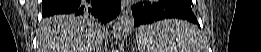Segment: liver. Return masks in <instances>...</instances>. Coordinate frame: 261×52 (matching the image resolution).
Masks as SVG:
<instances>
[{
    "mask_svg": "<svg viewBox=\"0 0 261 52\" xmlns=\"http://www.w3.org/2000/svg\"><path fill=\"white\" fill-rule=\"evenodd\" d=\"M100 45L95 25L73 15L46 18L37 33V52H98Z\"/></svg>",
    "mask_w": 261,
    "mask_h": 52,
    "instance_id": "liver-1",
    "label": "liver"
}]
</instances>
